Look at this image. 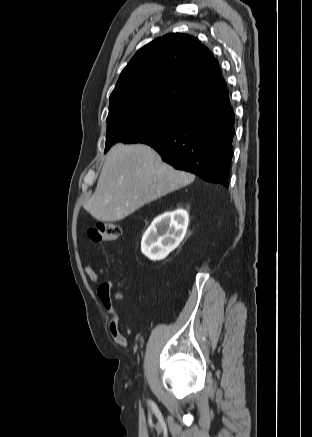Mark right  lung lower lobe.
Masks as SVG:
<instances>
[{"instance_id": "obj_1", "label": "right lung lower lobe", "mask_w": 312, "mask_h": 437, "mask_svg": "<svg viewBox=\"0 0 312 437\" xmlns=\"http://www.w3.org/2000/svg\"><path fill=\"white\" fill-rule=\"evenodd\" d=\"M234 132V112L226 91L217 100L193 110L176 130L143 143L176 169L228 188Z\"/></svg>"}]
</instances>
